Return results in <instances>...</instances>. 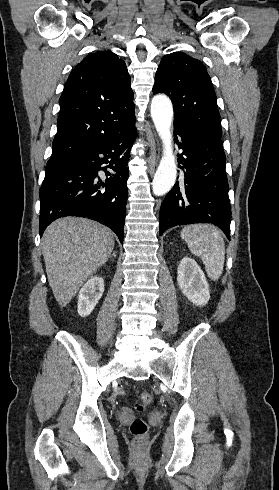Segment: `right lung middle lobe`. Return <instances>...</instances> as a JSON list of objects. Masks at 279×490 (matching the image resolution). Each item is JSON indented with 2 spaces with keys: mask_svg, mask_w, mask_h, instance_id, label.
Masks as SVG:
<instances>
[{
  "mask_svg": "<svg viewBox=\"0 0 279 490\" xmlns=\"http://www.w3.org/2000/svg\"><path fill=\"white\" fill-rule=\"evenodd\" d=\"M61 166H62V164H47L46 169H45L46 170L45 176L50 175L51 173L55 172Z\"/></svg>",
  "mask_w": 279,
  "mask_h": 490,
  "instance_id": "dd1d6c3e",
  "label": "right lung middle lobe"
}]
</instances>
